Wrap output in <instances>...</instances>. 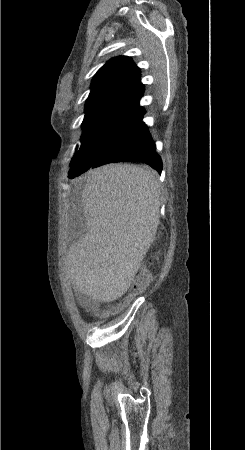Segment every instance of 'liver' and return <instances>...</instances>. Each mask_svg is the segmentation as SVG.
Returning a JSON list of instances; mask_svg holds the SVG:
<instances>
[{
	"label": "liver",
	"instance_id": "6515ba94",
	"mask_svg": "<svg viewBox=\"0 0 245 450\" xmlns=\"http://www.w3.org/2000/svg\"><path fill=\"white\" fill-rule=\"evenodd\" d=\"M160 195L149 167L109 164L87 173L82 192L87 231L65 260L76 290L99 302L127 292L155 239Z\"/></svg>",
	"mask_w": 245,
	"mask_h": 450
}]
</instances>
